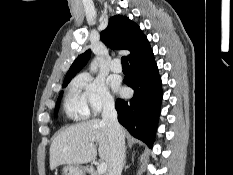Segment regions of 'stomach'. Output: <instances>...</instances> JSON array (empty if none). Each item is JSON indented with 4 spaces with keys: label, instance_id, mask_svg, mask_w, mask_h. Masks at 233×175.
<instances>
[{
    "label": "stomach",
    "instance_id": "obj_1",
    "mask_svg": "<svg viewBox=\"0 0 233 175\" xmlns=\"http://www.w3.org/2000/svg\"><path fill=\"white\" fill-rule=\"evenodd\" d=\"M63 175H85V169L79 165H66L62 169Z\"/></svg>",
    "mask_w": 233,
    "mask_h": 175
}]
</instances>
